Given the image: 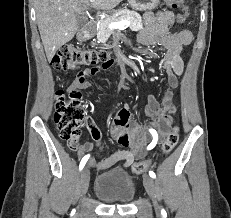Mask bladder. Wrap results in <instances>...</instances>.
Returning <instances> with one entry per match:
<instances>
[{
  "instance_id": "1",
  "label": "bladder",
  "mask_w": 231,
  "mask_h": 218,
  "mask_svg": "<svg viewBox=\"0 0 231 218\" xmlns=\"http://www.w3.org/2000/svg\"><path fill=\"white\" fill-rule=\"evenodd\" d=\"M94 191L97 197L110 203L130 202L135 193L133 180L127 174L99 176Z\"/></svg>"
}]
</instances>
